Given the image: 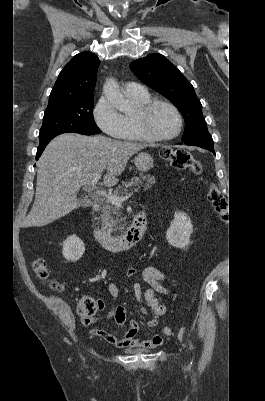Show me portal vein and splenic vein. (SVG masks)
Masks as SVG:
<instances>
[{
	"instance_id": "portal-vein-and-splenic-vein-1",
	"label": "portal vein and splenic vein",
	"mask_w": 265,
	"mask_h": 401,
	"mask_svg": "<svg viewBox=\"0 0 265 401\" xmlns=\"http://www.w3.org/2000/svg\"><path fill=\"white\" fill-rule=\"evenodd\" d=\"M101 174H95L91 180L92 188L96 194H102V196H106V198H110L111 203L113 205H117V207H121L122 201H127V198L131 197L130 193H127L126 196H116V194H107L106 190H95V184L97 180H99ZM136 190H139V187H136Z\"/></svg>"
}]
</instances>
